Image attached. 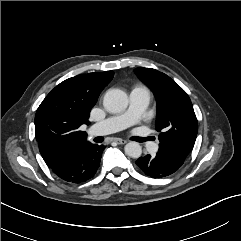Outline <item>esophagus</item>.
Returning a JSON list of instances; mask_svg holds the SVG:
<instances>
[{
  "mask_svg": "<svg viewBox=\"0 0 241 241\" xmlns=\"http://www.w3.org/2000/svg\"><path fill=\"white\" fill-rule=\"evenodd\" d=\"M115 142H116L117 144H120V145H123V144H126V143H127V141H126V140H123V139H116Z\"/></svg>",
  "mask_w": 241,
  "mask_h": 241,
  "instance_id": "esophagus-1",
  "label": "esophagus"
}]
</instances>
